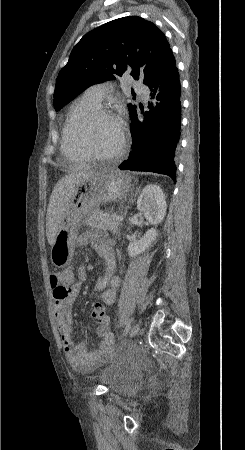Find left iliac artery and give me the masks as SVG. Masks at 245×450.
I'll list each match as a JSON object with an SVG mask.
<instances>
[{
  "mask_svg": "<svg viewBox=\"0 0 245 450\" xmlns=\"http://www.w3.org/2000/svg\"><path fill=\"white\" fill-rule=\"evenodd\" d=\"M130 329H131V324L128 323V324L126 325V327H125V330H124L123 335H126V334L129 332Z\"/></svg>",
  "mask_w": 245,
  "mask_h": 450,
  "instance_id": "left-iliac-artery-1",
  "label": "left iliac artery"
}]
</instances>
